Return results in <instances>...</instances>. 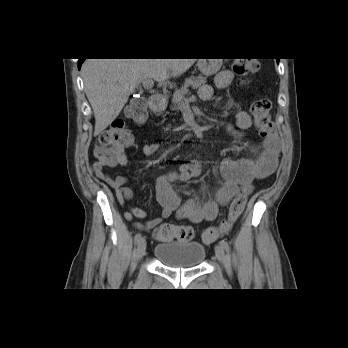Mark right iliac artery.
I'll list each match as a JSON object with an SVG mask.
<instances>
[{
    "mask_svg": "<svg viewBox=\"0 0 348 348\" xmlns=\"http://www.w3.org/2000/svg\"><path fill=\"white\" fill-rule=\"evenodd\" d=\"M141 239V234L140 233H137L134 237V240H135V243H138Z\"/></svg>",
    "mask_w": 348,
    "mask_h": 348,
    "instance_id": "82829eb1",
    "label": "right iliac artery"
}]
</instances>
